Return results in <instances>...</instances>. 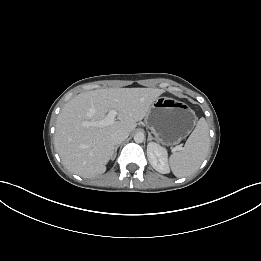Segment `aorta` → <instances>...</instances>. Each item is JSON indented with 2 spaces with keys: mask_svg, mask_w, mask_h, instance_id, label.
Segmentation results:
<instances>
[{
  "mask_svg": "<svg viewBox=\"0 0 261 261\" xmlns=\"http://www.w3.org/2000/svg\"><path fill=\"white\" fill-rule=\"evenodd\" d=\"M145 137L144 134L141 132H138L134 135V141L136 143H142L144 141Z\"/></svg>",
  "mask_w": 261,
  "mask_h": 261,
  "instance_id": "1",
  "label": "aorta"
}]
</instances>
